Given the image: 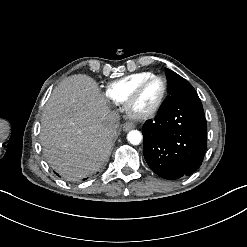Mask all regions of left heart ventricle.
Wrapping results in <instances>:
<instances>
[{
	"instance_id": "1",
	"label": "left heart ventricle",
	"mask_w": 247,
	"mask_h": 247,
	"mask_svg": "<svg viewBox=\"0 0 247 247\" xmlns=\"http://www.w3.org/2000/svg\"><path fill=\"white\" fill-rule=\"evenodd\" d=\"M162 94L163 83L160 80L153 79L148 81L140 90L134 106L135 111L143 112L151 109L159 101Z\"/></svg>"
}]
</instances>
